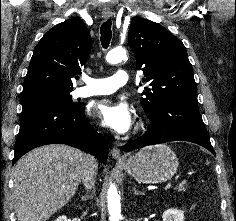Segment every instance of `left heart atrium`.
I'll use <instances>...</instances> for the list:
<instances>
[{"mask_svg":"<svg viewBox=\"0 0 236 221\" xmlns=\"http://www.w3.org/2000/svg\"><path fill=\"white\" fill-rule=\"evenodd\" d=\"M93 113L111 130L124 134L133 124V118L128 105L122 101L101 99L93 106Z\"/></svg>","mask_w":236,"mask_h":221,"instance_id":"1","label":"left heart atrium"}]
</instances>
